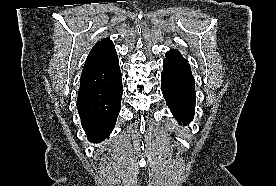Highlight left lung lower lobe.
Listing matches in <instances>:
<instances>
[{"instance_id":"obj_1","label":"left lung lower lobe","mask_w":276,"mask_h":186,"mask_svg":"<svg viewBox=\"0 0 276 186\" xmlns=\"http://www.w3.org/2000/svg\"><path fill=\"white\" fill-rule=\"evenodd\" d=\"M162 93L179 124H189L194 117L195 83L188 62L164 59Z\"/></svg>"}]
</instances>
